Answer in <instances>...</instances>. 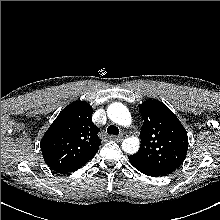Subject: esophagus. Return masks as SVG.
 Returning a JSON list of instances; mask_svg holds the SVG:
<instances>
[{"label": "esophagus", "mask_w": 220, "mask_h": 220, "mask_svg": "<svg viewBox=\"0 0 220 220\" xmlns=\"http://www.w3.org/2000/svg\"><path fill=\"white\" fill-rule=\"evenodd\" d=\"M126 138L125 134H121L120 136L115 137V140L117 142H121L122 140H124Z\"/></svg>", "instance_id": "obj_1"}]
</instances>
